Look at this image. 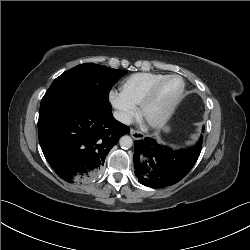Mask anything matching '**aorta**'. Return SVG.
Here are the masks:
<instances>
[{
	"label": "aorta",
	"mask_w": 250,
	"mask_h": 250,
	"mask_svg": "<svg viewBox=\"0 0 250 250\" xmlns=\"http://www.w3.org/2000/svg\"><path fill=\"white\" fill-rule=\"evenodd\" d=\"M119 144H120L121 148L129 149L133 145V140L130 136L125 135V136L121 137Z\"/></svg>",
	"instance_id": "aorta-1"
}]
</instances>
